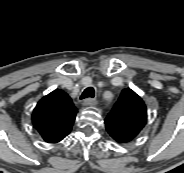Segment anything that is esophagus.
Wrapping results in <instances>:
<instances>
[{"mask_svg": "<svg viewBox=\"0 0 184 173\" xmlns=\"http://www.w3.org/2000/svg\"><path fill=\"white\" fill-rule=\"evenodd\" d=\"M97 103L98 101L94 98H87L82 102L84 106H95Z\"/></svg>", "mask_w": 184, "mask_h": 173, "instance_id": "1", "label": "esophagus"}]
</instances>
